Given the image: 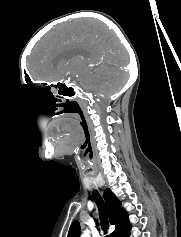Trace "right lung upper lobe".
I'll list each match as a JSON object with an SVG mask.
<instances>
[{
  "instance_id": "right-lung-upper-lobe-1",
  "label": "right lung upper lobe",
  "mask_w": 181,
  "mask_h": 237,
  "mask_svg": "<svg viewBox=\"0 0 181 237\" xmlns=\"http://www.w3.org/2000/svg\"><path fill=\"white\" fill-rule=\"evenodd\" d=\"M104 199L110 223L115 226V230L111 234L112 237H128L131 224L127 212L121 208V202L110 189L105 190ZM80 231L79 222L74 221L70 226L68 237H79Z\"/></svg>"
}]
</instances>
